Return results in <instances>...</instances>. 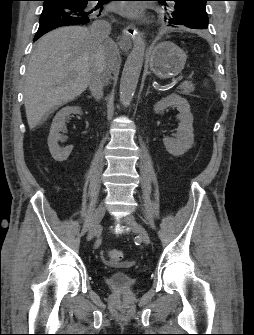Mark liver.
I'll list each match as a JSON object with an SVG mask.
<instances>
[{
  "instance_id": "1",
  "label": "liver",
  "mask_w": 254,
  "mask_h": 335,
  "mask_svg": "<svg viewBox=\"0 0 254 335\" xmlns=\"http://www.w3.org/2000/svg\"><path fill=\"white\" fill-rule=\"evenodd\" d=\"M118 55L112 40L95 43L87 27H61L44 35L26 72L24 104L29 128H35L45 115L87 89L97 57L111 73L117 68Z\"/></svg>"
}]
</instances>
